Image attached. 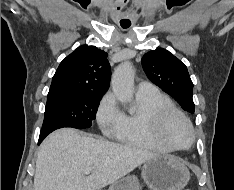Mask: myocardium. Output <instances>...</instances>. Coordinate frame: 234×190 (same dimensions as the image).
<instances>
[{
    "instance_id": "f54148a6",
    "label": "myocardium",
    "mask_w": 234,
    "mask_h": 190,
    "mask_svg": "<svg viewBox=\"0 0 234 190\" xmlns=\"http://www.w3.org/2000/svg\"><path fill=\"white\" fill-rule=\"evenodd\" d=\"M174 117L180 118L186 125L190 140L186 145H176L166 134V129L170 120ZM153 129L156 137L172 150H185L191 147L195 140V131L190 119L175 106H164L159 108L153 116Z\"/></svg>"
}]
</instances>
